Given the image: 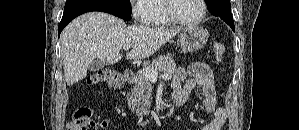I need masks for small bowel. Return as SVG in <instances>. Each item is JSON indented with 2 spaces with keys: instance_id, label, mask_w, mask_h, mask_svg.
I'll use <instances>...</instances> for the list:
<instances>
[{
  "instance_id": "c3829d8e",
  "label": "small bowel",
  "mask_w": 299,
  "mask_h": 130,
  "mask_svg": "<svg viewBox=\"0 0 299 130\" xmlns=\"http://www.w3.org/2000/svg\"><path fill=\"white\" fill-rule=\"evenodd\" d=\"M200 88L204 95V109L212 114V120L203 125L201 130H223L226 126L227 111L217 101V89L212 69L203 62H193L187 67H179L172 80L175 96L188 98L194 88ZM177 120H180L177 117ZM109 126L107 118L100 121V127Z\"/></svg>"
}]
</instances>
